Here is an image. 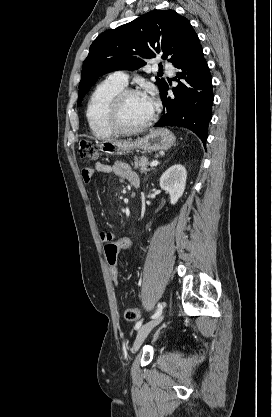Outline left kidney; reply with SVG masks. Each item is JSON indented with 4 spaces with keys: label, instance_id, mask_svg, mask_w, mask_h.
Here are the masks:
<instances>
[{
    "label": "left kidney",
    "instance_id": "left-kidney-1",
    "mask_svg": "<svg viewBox=\"0 0 272 417\" xmlns=\"http://www.w3.org/2000/svg\"><path fill=\"white\" fill-rule=\"evenodd\" d=\"M187 172L183 165L175 164L168 168L160 178V187L170 195L172 205L176 204L183 195L186 185Z\"/></svg>",
    "mask_w": 272,
    "mask_h": 417
}]
</instances>
